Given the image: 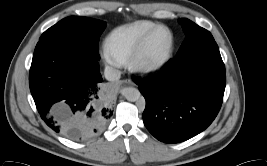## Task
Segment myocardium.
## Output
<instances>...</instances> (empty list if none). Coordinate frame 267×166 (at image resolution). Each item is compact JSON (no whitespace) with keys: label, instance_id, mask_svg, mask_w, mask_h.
I'll return each instance as SVG.
<instances>
[{"label":"myocardium","instance_id":"myocardium-1","mask_svg":"<svg viewBox=\"0 0 267 166\" xmlns=\"http://www.w3.org/2000/svg\"><path fill=\"white\" fill-rule=\"evenodd\" d=\"M159 30H166L170 35V43L165 55L156 61H145L143 60V53L153 35ZM175 48V36L173 31L164 25H157L150 30L139 42V44L132 51L128 57V65L131 69L140 73H151L155 72L164 67L172 57Z\"/></svg>","mask_w":267,"mask_h":166}]
</instances>
